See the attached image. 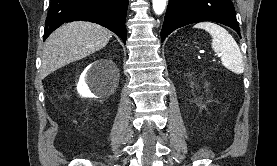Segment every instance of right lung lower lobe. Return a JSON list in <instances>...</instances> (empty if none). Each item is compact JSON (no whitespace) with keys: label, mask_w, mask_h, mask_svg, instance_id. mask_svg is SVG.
Segmentation results:
<instances>
[{"label":"right lung lower lobe","mask_w":277,"mask_h":166,"mask_svg":"<svg viewBox=\"0 0 277 166\" xmlns=\"http://www.w3.org/2000/svg\"><path fill=\"white\" fill-rule=\"evenodd\" d=\"M128 0H51L44 40L64 22L90 21L113 31L126 43Z\"/></svg>","instance_id":"1"}]
</instances>
